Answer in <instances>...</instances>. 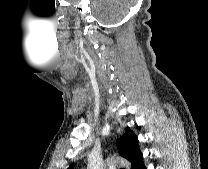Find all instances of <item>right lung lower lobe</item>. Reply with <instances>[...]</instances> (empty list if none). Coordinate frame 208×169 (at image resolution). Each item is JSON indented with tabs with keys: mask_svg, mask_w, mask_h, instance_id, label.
<instances>
[{
	"mask_svg": "<svg viewBox=\"0 0 208 169\" xmlns=\"http://www.w3.org/2000/svg\"><path fill=\"white\" fill-rule=\"evenodd\" d=\"M134 169H146L143 159L139 162V164Z\"/></svg>",
	"mask_w": 208,
	"mask_h": 169,
	"instance_id": "98d812e1",
	"label": "right lung lower lobe"
}]
</instances>
